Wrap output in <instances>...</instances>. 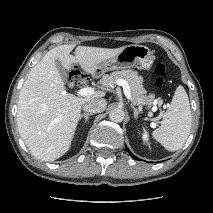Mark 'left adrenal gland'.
Listing matches in <instances>:
<instances>
[{
    "label": "left adrenal gland",
    "instance_id": "1",
    "mask_svg": "<svg viewBox=\"0 0 213 213\" xmlns=\"http://www.w3.org/2000/svg\"><path fill=\"white\" fill-rule=\"evenodd\" d=\"M131 108H132L133 111H134V118L137 120L138 115H139L140 113H142V111H141V110H137L133 104H131Z\"/></svg>",
    "mask_w": 213,
    "mask_h": 213
}]
</instances>
